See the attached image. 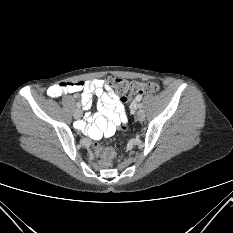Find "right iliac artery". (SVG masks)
Listing matches in <instances>:
<instances>
[{
	"label": "right iliac artery",
	"mask_w": 233,
	"mask_h": 233,
	"mask_svg": "<svg viewBox=\"0 0 233 233\" xmlns=\"http://www.w3.org/2000/svg\"><path fill=\"white\" fill-rule=\"evenodd\" d=\"M76 106H77L78 108H80V107H81V104L78 102V103L76 104Z\"/></svg>",
	"instance_id": "82829eb1"
}]
</instances>
